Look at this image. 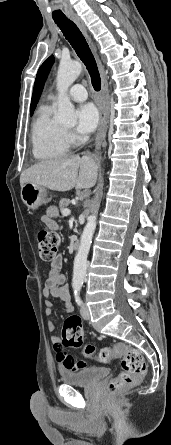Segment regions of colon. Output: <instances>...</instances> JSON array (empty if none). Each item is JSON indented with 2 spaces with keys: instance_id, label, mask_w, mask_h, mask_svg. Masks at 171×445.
Instances as JSON below:
<instances>
[{
  "instance_id": "5ec220e1",
  "label": "colon",
  "mask_w": 171,
  "mask_h": 445,
  "mask_svg": "<svg viewBox=\"0 0 171 445\" xmlns=\"http://www.w3.org/2000/svg\"><path fill=\"white\" fill-rule=\"evenodd\" d=\"M36 243L39 256L44 261H52L58 251L59 236L46 229L36 231ZM82 320L79 316H69L63 325L61 340L65 346L81 347L83 345ZM86 357H92L95 349L87 345L83 349ZM102 363H109L121 359L122 371L108 384V393L118 394L137 385L145 376L147 366L144 357L139 350L131 348L123 343H115L110 347L101 349L96 356Z\"/></svg>"
}]
</instances>
